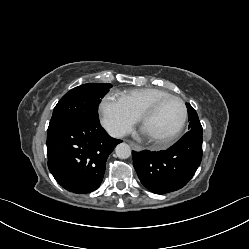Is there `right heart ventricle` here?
Returning a JSON list of instances; mask_svg holds the SVG:
<instances>
[{
  "mask_svg": "<svg viewBox=\"0 0 249 249\" xmlns=\"http://www.w3.org/2000/svg\"><path fill=\"white\" fill-rule=\"evenodd\" d=\"M168 95V92L156 88H139L123 92L119 98L139 117L151 103Z\"/></svg>",
  "mask_w": 249,
  "mask_h": 249,
  "instance_id": "e07e8e85",
  "label": "right heart ventricle"
}]
</instances>
